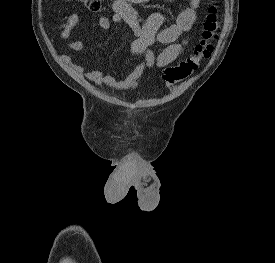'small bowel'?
Here are the masks:
<instances>
[{"mask_svg":"<svg viewBox=\"0 0 275 263\" xmlns=\"http://www.w3.org/2000/svg\"><path fill=\"white\" fill-rule=\"evenodd\" d=\"M149 0H114L111 17L102 16L99 25L104 32L113 29L114 26L124 25L133 32L130 43V51L140 55L141 60L133 71L125 78L119 79L117 74L106 70H85L84 67L72 61L67 54H60L59 59L67 65L75 74L88 79L99 86H107L118 90L134 89L151 68L162 69L174 62L184 51L189 33L197 19V8L201 0H191L189 7L182 10L174 23L163 26L165 14L161 11L151 13L147 19L142 20L134 5L146 3ZM79 15L71 14L60 27L61 39L68 49L82 52L85 44L79 40H71V33L77 27ZM154 43L166 45L156 56L149 49Z\"/></svg>","mask_w":275,"mask_h":263,"instance_id":"obj_1","label":"small bowel"}]
</instances>
